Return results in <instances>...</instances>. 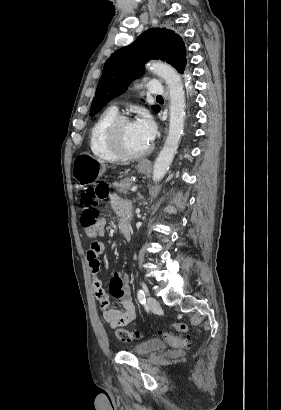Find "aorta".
Wrapping results in <instances>:
<instances>
[{
	"label": "aorta",
	"mask_w": 281,
	"mask_h": 410,
	"mask_svg": "<svg viewBox=\"0 0 281 410\" xmlns=\"http://www.w3.org/2000/svg\"><path fill=\"white\" fill-rule=\"evenodd\" d=\"M146 66L165 81L170 95L169 132L164 147L153 166L152 179L157 183L164 178L169 169L183 133L186 107L185 94L179 74L170 65L152 61Z\"/></svg>",
	"instance_id": "1"
}]
</instances>
